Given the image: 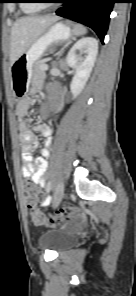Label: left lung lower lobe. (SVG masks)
I'll return each mask as SVG.
<instances>
[{"instance_id":"0a47b994","label":"left lung lower lobe","mask_w":136,"mask_h":296,"mask_svg":"<svg viewBox=\"0 0 136 296\" xmlns=\"http://www.w3.org/2000/svg\"><path fill=\"white\" fill-rule=\"evenodd\" d=\"M58 16L74 20L92 28L104 42L109 16L115 0H63Z\"/></svg>"}]
</instances>
